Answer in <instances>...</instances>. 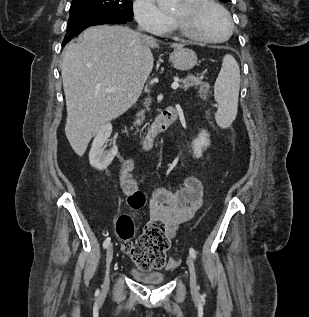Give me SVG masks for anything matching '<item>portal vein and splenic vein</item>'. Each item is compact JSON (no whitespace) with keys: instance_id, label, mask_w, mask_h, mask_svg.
I'll return each instance as SVG.
<instances>
[{"instance_id":"1","label":"portal vein and splenic vein","mask_w":309,"mask_h":317,"mask_svg":"<svg viewBox=\"0 0 309 317\" xmlns=\"http://www.w3.org/2000/svg\"><path fill=\"white\" fill-rule=\"evenodd\" d=\"M178 87H179V83H178V80H176V81H174V82L172 83L171 88H172L173 90H176V89H178ZM114 90H115V87H114V86L109 87V88L106 89L107 92H111V91H114Z\"/></svg>"}]
</instances>
